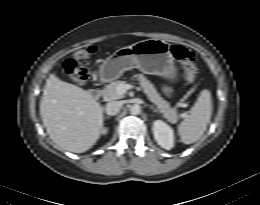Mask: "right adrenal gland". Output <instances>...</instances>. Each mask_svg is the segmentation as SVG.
I'll list each match as a JSON object with an SVG mask.
<instances>
[{"label":"right adrenal gland","mask_w":260,"mask_h":205,"mask_svg":"<svg viewBox=\"0 0 260 205\" xmlns=\"http://www.w3.org/2000/svg\"><path fill=\"white\" fill-rule=\"evenodd\" d=\"M106 118H107V119H109L110 117H109V116H107Z\"/></svg>","instance_id":"2a0ac1e0"}]
</instances>
